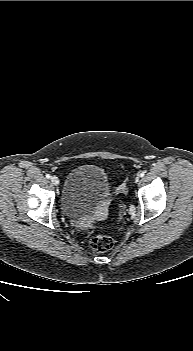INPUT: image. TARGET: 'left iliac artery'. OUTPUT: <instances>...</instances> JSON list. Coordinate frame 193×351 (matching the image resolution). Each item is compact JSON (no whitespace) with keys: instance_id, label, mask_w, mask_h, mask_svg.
I'll use <instances>...</instances> for the list:
<instances>
[{"instance_id":"left-iliac-artery-1","label":"left iliac artery","mask_w":193,"mask_h":351,"mask_svg":"<svg viewBox=\"0 0 193 351\" xmlns=\"http://www.w3.org/2000/svg\"><path fill=\"white\" fill-rule=\"evenodd\" d=\"M144 175H145V171H141L139 174L140 177H143Z\"/></svg>"}]
</instances>
